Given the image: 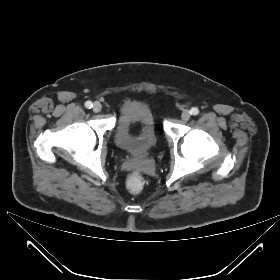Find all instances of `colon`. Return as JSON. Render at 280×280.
Segmentation results:
<instances>
[{
    "label": "colon",
    "instance_id": "5ec220e1",
    "mask_svg": "<svg viewBox=\"0 0 280 280\" xmlns=\"http://www.w3.org/2000/svg\"><path fill=\"white\" fill-rule=\"evenodd\" d=\"M145 182L143 177L138 173H132L127 180V188L131 193H140L144 188Z\"/></svg>",
    "mask_w": 280,
    "mask_h": 280
}]
</instances>
